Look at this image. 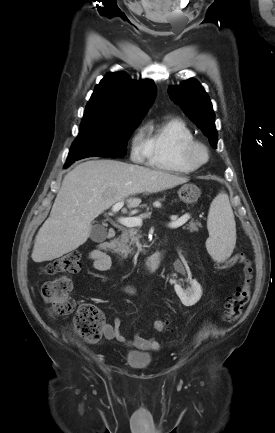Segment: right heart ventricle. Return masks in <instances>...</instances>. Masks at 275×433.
I'll list each match as a JSON object with an SVG mask.
<instances>
[{
  "label": "right heart ventricle",
  "instance_id": "obj_1",
  "mask_svg": "<svg viewBox=\"0 0 275 433\" xmlns=\"http://www.w3.org/2000/svg\"><path fill=\"white\" fill-rule=\"evenodd\" d=\"M195 140L191 128L178 117H167L147 126L146 146L148 164L154 168L192 173L198 168L183 158V148Z\"/></svg>",
  "mask_w": 275,
  "mask_h": 433
}]
</instances>
